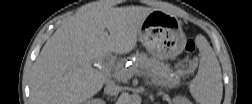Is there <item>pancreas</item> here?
<instances>
[{"label": "pancreas", "mask_w": 252, "mask_h": 104, "mask_svg": "<svg viewBox=\"0 0 252 104\" xmlns=\"http://www.w3.org/2000/svg\"><path fill=\"white\" fill-rule=\"evenodd\" d=\"M123 65L124 61L114 65V70L117 72L116 78L122 81L127 79L119 75ZM130 70L135 73H145L151 78L152 83L165 87H175L180 81L179 73L174 72L169 65L155 62L146 55H141L140 60L136 61Z\"/></svg>", "instance_id": "pancreas-1"}]
</instances>
